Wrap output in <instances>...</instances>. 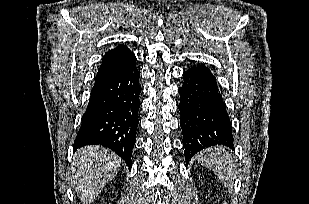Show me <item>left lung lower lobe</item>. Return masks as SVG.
<instances>
[{
  "label": "left lung lower lobe",
  "mask_w": 309,
  "mask_h": 204,
  "mask_svg": "<svg viewBox=\"0 0 309 204\" xmlns=\"http://www.w3.org/2000/svg\"><path fill=\"white\" fill-rule=\"evenodd\" d=\"M183 79L179 109L187 163L198 151L212 145L233 149L231 121L214 75L197 63L184 72Z\"/></svg>",
  "instance_id": "1"
}]
</instances>
